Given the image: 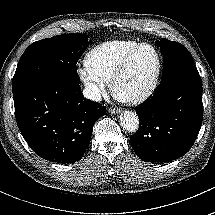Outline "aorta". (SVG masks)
<instances>
[{
	"label": "aorta",
	"mask_w": 215,
	"mask_h": 215,
	"mask_svg": "<svg viewBox=\"0 0 215 215\" xmlns=\"http://www.w3.org/2000/svg\"><path fill=\"white\" fill-rule=\"evenodd\" d=\"M120 124L125 131L135 133L139 128V117L135 112H125L120 118Z\"/></svg>",
	"instance_id": "762f6f07"
}]
</instances>
